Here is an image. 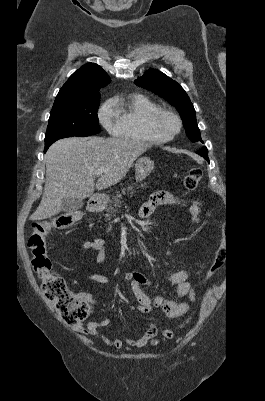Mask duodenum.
<instances>
[{
  "label": "duodenum",
  "instance_id": "duodenum-1",
  "mask_svg": "<svg viewBox=\"0 0 265 401\" xmlns=\"http://www.w3.org/2000/svg\"><path fill=\"white\" fill-rule=\"evenodd\" d=\"M102 207H103V202L101 198L98 196L92 197L88 203V210L92 213L100 211ZM89 225L90 227L92 226L91 219H89Z\"/></svg>",
  "mask_w": 265,
  "mask_h": 401
}]
</instances>
